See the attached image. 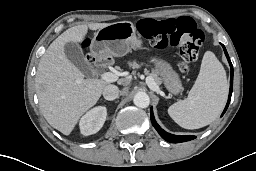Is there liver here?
Listing matches in <instances>:
<instances>
[{"label":"liver","instance_id":"liver-1","mask_svg":"<svg viewBox=\"0 0 256 171\" xmlns=\"http://www.w3.org/2000/svg\"><path fill=\"white\" fill-rule=\"evenodd\" d=\"M109 23H90L69 28L58 36L41 57L35 83L40 110L46 121L69 135L79 118L99 100L108 82L84 79L83 73L65 55L67 42H81L90 30Z\"/></svg>","mask_w":256,"mask_h":171}]
</instances>
